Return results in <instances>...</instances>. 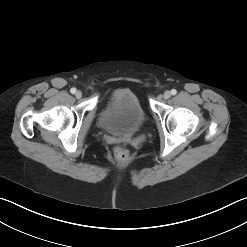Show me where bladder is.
<instances>
[{
    "mask_svg": "<svg viewBox=\"0 0 247 247\" xmlns=\"http://www.w3.org/2000/svg\"><path fill=\"white\" fill-rule=\"evenodd\" d=\"M146 121L139 96L129 88H119L109 94L99 114L100 127L118 134L139 132Z\"/></svg>",
    "mask_w": 247,
    "mask_h": 247,
    "instance_id": "31cf9c89",
    "label": "bladder"
}]
</instances>
